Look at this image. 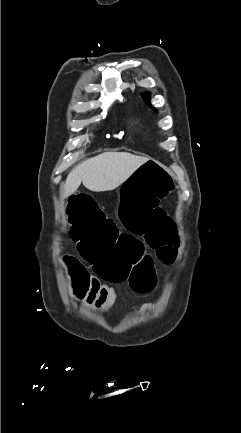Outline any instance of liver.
Listing matches in <instances>:
<instances>
[{
	"label": "liver",
	"instance_id": "obj_1",
	"mask_svg": "<svg viewBox=\"0 0 241 433\" xmlns=\"http://www.w3.org/2000/svg\"><path fill=\"white\" fill-rule=\"evenodd\" d=\"M149 158L126 152H105L77 165L67 176L62 196L73 194L83 185L93 192L111 191L120 186Z\"/></svg>",
	"mask_w": 241,
	"mask_h": 433
}]
</instances>
